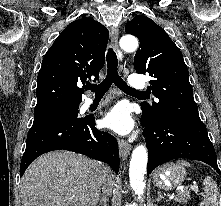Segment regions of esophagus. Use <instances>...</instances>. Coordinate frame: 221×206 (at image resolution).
<instances>
[{"mask_svg": "<svg viewBox=\"0 0 221 206\" xmlns=\"http://www.w3.org/2000/svg\"><path fill=\"white\" fill-rule=\"evenodd\" d=\"M118 35H119L118 28L112 27L111 31H110L111 42H112L113 48L118 56L119 61L122 62L123 61V54H122L121 50L119 49ZM118 144H119L120 156L122 157L123 160H125L130 153L131 145L128 144L123 139H118Z\"/></svg>", "mask_w": 221, "mask_h": 206, "instance_id": "1", "label": "esophagus"}]
</instances>
